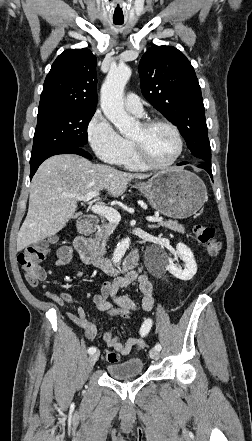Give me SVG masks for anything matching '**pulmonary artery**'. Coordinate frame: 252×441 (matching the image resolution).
Listing matches in <instances>:
<instances>
[{
    "instance_id": "1",
    "label": "pulmonary artery",
    "mask_w": 252,
    "mask_h": 441,
    "mask_svg": "<svg viewBox=\"0 0 252 441\" xmlns=\"http://www.w3.org/2000/svg\"><path fill=\"white\" fill-rule=\"evenodd\" d=\"M124 105L129 112L139 117L144 115L143 104L136 94L129 93L124 100Z\"/></svg>"
}]
</instances>
